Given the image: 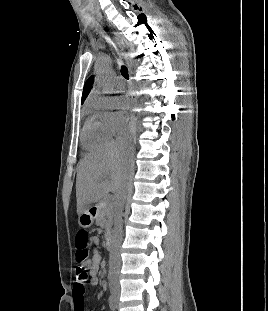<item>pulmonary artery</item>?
I'll use <instances>...</instances> for the list:
<instances>
[{
  "instance_id": "obj_1",
  "label": "pulmonary artery",
  "mask_w": 268,
  "mask_h": 311,
  "mask_svg": "<svg viewBox=\"0 0 268 311\" xmlns=\"http://www.w3.org/2000/svg\"><path fill=\"white\" fill-rule=\"evenodd\" d=\"M116 86H117V88H121L123 86L121 78H119V81L116 83Z\"/></svg>"
}]
</instances>
